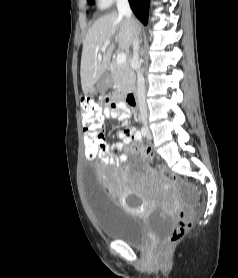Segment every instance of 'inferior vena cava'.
Masks as SVG:
<instances>
[{
  "label": "inferior vena cava",
  "instance_id": "1",
  "mask_svg": "<svg viewBox=\"0 0 238 278\" xmlns=\"http://www.w3.org/2000/svg\"><path fill=\"white\" fill-rule=\"evenodd\" d=\"M117 8L120 15L125 16L127 19L131 18V9L128 0H116ZM133 57L132 61L134 62L137 69V99L140 108V114L142 121L147 125V105H146V96H145V79L141 71V65L139 62V39L138 35L133 37Z\"/></svg>",
  "mask_w": 238,
  "mask_h": 278
}]
</instances>
